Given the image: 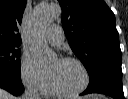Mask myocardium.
I'll use <instances>...</instances> for the list:
<instances>
[{"label": "myocardium", "instance_id": "myocardium-1", "mask_svg": "<svg viewBox=\"0 0 128 99\" xmlns=\"http://www.w3.org/2000/svg\"><path fill=\"white\" fill-rule=\"evenodd\" d=\"M59 60L62 62H74V63L78 64L83 71L84 82H83L82 86L80 88H78L77 90L66 92L57 87V85L55 84V82L53 80L52 75L48 72V81H49V85H50L52 92L55 95L60 96V97H75V96L80 95L87 89V87L89 86V83H90V74L88 72L87 67L80 59L75 58V57H70V56L60 57Z\"/></svg>", "mask_w": 128, "mask_h": 99}]
</instances>
